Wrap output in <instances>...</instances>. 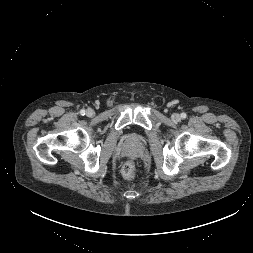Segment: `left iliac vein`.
<instances>
[{"label": "left iliac vein", "mask_w": 253, "mask_h": 253, "mask_svg": "<svg viewBox=\"0 0 253 253\" xmlns=\"http://www.w3.org/2000/svg\"><path fill=\"white\" fill-rule=\"evenodd\" d=\"M172 119H173V121L178 122V121H180L181 116H180L179 114H177V113H174V114L172 115Z\"/></svg>", "instance_id": "left-iliac-vein-1"}]
</instances>
